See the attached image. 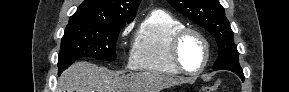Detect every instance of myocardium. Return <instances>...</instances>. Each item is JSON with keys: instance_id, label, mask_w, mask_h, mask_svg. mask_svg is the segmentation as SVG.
<instances>
[{"instance_id": "f54148a6", "label": "myocardium", "mask_w": 289, "mask_h": 92, "mask_svg": "<svg viewBox=\"0 0 289 92\" xmlns=\"http://www.w3.org/2000/svg\"><path fill=\"white\" fill-rule=\"evenodd\" d=\"M188 35H195L198 37L204 46V60L200 68L195 71H190L184 67L180 59V47ZM170 55L175 67L182 73L187 75H198L202 73L208 65L210 58V45L205 35L197 29L184 27L177 31L173 36L170 44Z\"/></svg>"}]
</instances>
